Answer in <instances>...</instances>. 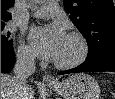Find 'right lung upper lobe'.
<instances>
[{"instance_id": "right-lung-upper-lobe-1", "label": "right lung upper lobe", "mask_w": 115, "mask_h": 99, "mask_svg": "<svg viewBox=\"0 0 115 99\" xmlns=\"http://www.w3.org/2000/svg\"><path fill=\"white\" fill-rule=\"evenodd\" d=\"M13 4L14 0H1V23H6L12 18L8 10L13 7Z\"/></svg>"}]
</instances>
